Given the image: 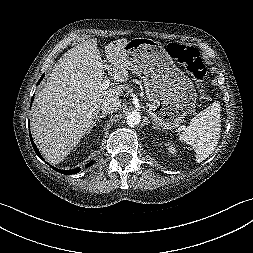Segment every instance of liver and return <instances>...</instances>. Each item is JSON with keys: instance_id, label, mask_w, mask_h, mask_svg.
<instances>
[{"instance_id": "obj_1", "label": "liver", "mask_w": 253, "mask_h": 253, "mask_svg": "<svg viewBox=\"0 0 253 253\" xmlns=\"http://www.w3.org/2000/svg\"><path fill=\"white\" fill-rule=\"evenodd\" d=\"M126 39L110 42L105 54L116 82L129 77ZM105 65L97 41L87 40L68 50L54 65L32 107L31 132L49 162L58 164L94 126L101 104L117 98L123 85L103 89Z\"/></svg>"}]
</instances>
